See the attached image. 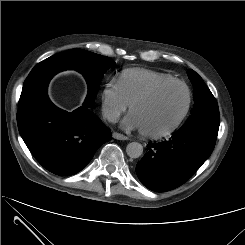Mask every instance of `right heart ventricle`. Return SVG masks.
<instances>
[{"mask_svg":"<svg viewBox=\"0 0 245 245\" xmlns=\"http://www.w3.org/2000/svg\"><path fill=\"white\" fill-rule=\"evenodd\" d=\"M174 79L172 76L147 70V69H127L118 78V87L128 104L133 99L148 91L150 88L164 81Z\"/></svg>","mask_w":245,"mask_h":245,"instance_id":"e07e8e85","label":"right heart ventricle"}]
</instances>
